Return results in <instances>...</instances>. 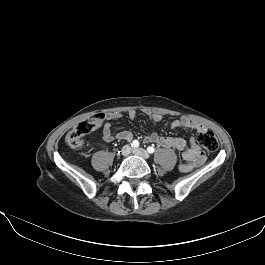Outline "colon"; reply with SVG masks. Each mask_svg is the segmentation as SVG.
Returning a JSON list of instances; mask_svg holds the SVG:
<instances>
[{
	"label": "colon",
	"mask_w": 265,
	"mask_h": 265,
	"mask_svg": "<svg viewBox=\"0 0 265 265\" xmlns=\"http://www.w3.org/2000/svg\"><path fill=\"white\" fill-rule=\"evenodd\" d=\"M105 119L104 115L97 114L86 121L79 123L66 136V143L72 148H78L83 144V138L99 126ZM198 140L207 151L214 152L218 149V138L212 131L199 133Z\"/></svg>",
	"instance_id": "1"
}]
</instances>
